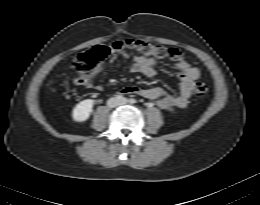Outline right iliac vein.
I'll list each match as a JSON object with an SVG mask.
<instances>
[{
	"instance_id": "1",
	"label": "right iliac vein",
	"mask_w": 260,
	"mask_h": 205,
	"mask_svg": "<svg viewBox=\"0 0 260 205\" xmlns=\"http://www.w3.org/2000/svg\"><path fill=\"white\" fill-rule=\"evenodd\" d=\"M118 99L117 98H110L109 100H108V105L110 106V107H115V106H117L118 105Z\"/></svg>"
}]
</instances>
